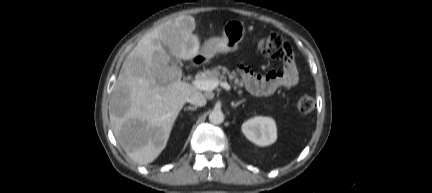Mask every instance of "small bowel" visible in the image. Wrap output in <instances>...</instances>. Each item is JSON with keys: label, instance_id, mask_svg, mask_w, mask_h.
I'll list each match as a JSON object with an SVG mask.
<instances>
[{"label": "small bowel", "instance_id": "obj_1", "mask_svg": "<svg viewBox=\"0 0 432 193\" xmlns=\"http://www.w3.org/2000/svg\"><path fill=\"white\" fill-rule=\"evenodd\" d=\"M246 89L259 96H268L279 89H290L298 83V71L292 58L284 61L281 71H270L260 75L246 67L239 69Z\"/></svg>", "mask_w": 432, "mask_h": 193}]
</instances>
